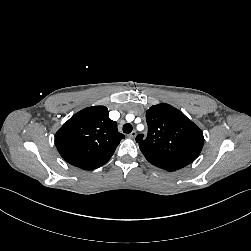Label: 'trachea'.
Listing matches in <instances>:
<instances>
[{"label": "trachea", "instance_id": "obj_1", "mask_svg": "<svg viewBox=\"0 0 251 251\" xmlns=\"http://www.w3.org/2000/svg\"><path fill=\"white\" fill-rule=\"evenodd\" d=\"M132 125L129 124V123H126L124 126H123V132L126 133V134H129L132 132Z\"/></svg>", "mask_w": 251, "mask_h": 251}]
</instances>
